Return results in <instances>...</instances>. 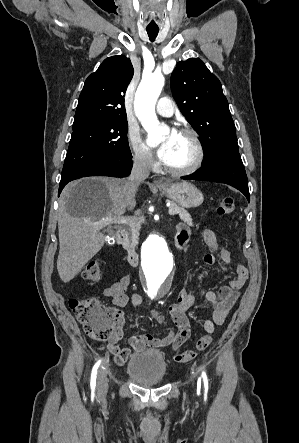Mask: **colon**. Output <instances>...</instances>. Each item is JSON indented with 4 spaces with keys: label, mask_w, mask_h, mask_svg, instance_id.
Returning <instances> with one entry per match:
<instances>
[{
    "label": "colon",
    "mask_w": 299,
    "mask_h": 443,
    "mask_svg": "<svg viewBox=\"0 0 299 443\" xmlns=\"http://www.w3.org/2000/svg\"><path fill=\"white\" fill-rule=\"evenodd\" d=\"M233 211L234 199L229 195L221 197L217 205V213L221 216H227ZM83 278L94 284L101 282L103 273L97 260L87 263L83 270ZM69 307L82 325L84 332L91 339L99 342L112 340L114 325L117 322V316L112 309L107 308L94 297L73 298L69 301ZM212 341L213 338L210 334L203 335L197 340L195 349L176 354L174 361L185 363L197 358L199 353L207 349Z\"/></svg>",
    "instance_id": "colon-1"
}]
</instances>
